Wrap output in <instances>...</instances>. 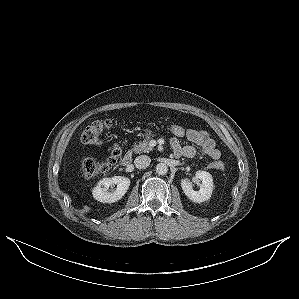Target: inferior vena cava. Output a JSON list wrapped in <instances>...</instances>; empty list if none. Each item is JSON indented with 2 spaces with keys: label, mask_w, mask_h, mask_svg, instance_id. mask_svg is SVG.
<instances>
[{
  "label": "inferior vena cava",
  "mask_w": 299,
  "mask_h": 299,
  "mask_svg": "<svg viewBox=\"0 0 299 299\" xmlns=\"http://www.w3.org/2000/svg\"><path fill=\"white\" fill-rule=\"evenodd\" d=\"M151 159L146 155H140L135 158L134 164L138 169H145L150 165Z\"/></svg>",
  "instance_id": "1"
}]
</instances>
